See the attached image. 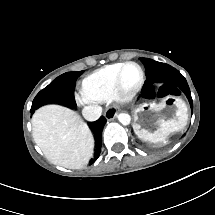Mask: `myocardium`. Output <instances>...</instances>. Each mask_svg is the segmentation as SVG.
Segmentation results:
<instances>
[{
  "instance_id": "obj_1",
  "label": "myocardium",
  "mask_w": 215,
  "mask_h": 215,
  "mask_svg": "<svg viewBox=\"0 0 215 215\" xmlns=\"http://www.w3.org/2000/svg\"><path fill=\"white\" fill-rule=\"evenodd\" d=\"M126 66H133L137 69V72H138V79L127 94H125L126 90L124 91L122 90V88L119 90V87L121 86L120 85L118 86V83L120 84V80L122 79L123 72ZM144 81H145L144 72L138 63L134 61H126L124 63H121L119 65V69H117L116 84L114 85V91H116V94H115L116 98L120 100L121 99L132 100L137 95L139 90L142 88Z\"/></svg>"
}]
</instances>
